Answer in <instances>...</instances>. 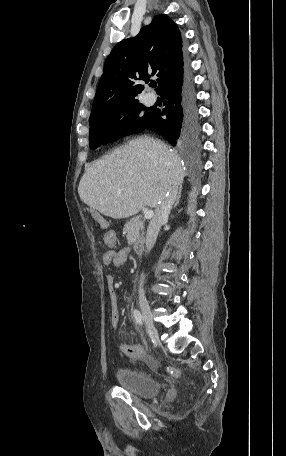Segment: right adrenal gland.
I'll return each instance as SVG.
<instances>
[{
    "label": "right adrenal gland",
    "instance_id": "right-adrenal-gland-1",
    "mask_svg": "<svg viewBox=\"0 0 286 456\" xmlns=\"http://www.w3.org/2000/svg\"><path fill=\"white\" fill-rule=\"evenodd\" d=\"M179 199H180V193H179L178 196L176 197L175 204H174V208H176L177 205L179 204Z\"/></svg>",
    "mask_w": 286,
    "mask_h": 456
}]
</instances>
